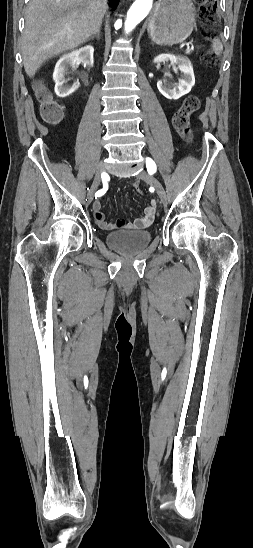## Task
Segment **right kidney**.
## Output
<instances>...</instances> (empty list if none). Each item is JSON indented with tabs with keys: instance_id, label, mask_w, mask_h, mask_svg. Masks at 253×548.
<instances>
[{
	"instance_id": "obj_1",
	"label": "right kidney",
	"mask_w": 253,
	"mask_h": 548,
	"mask_svg": "<svg viewBox=\"0 0 253 548\" xmlns=\"http://www.w3.org/2000/svg\"><path fill=\"white\" fill-rule=\"evenodd\" d=\"M93 53V46L87 45L71 53L63 55L57 61L53 73V80L55 81V93L58 97H68L78 89L80 85L79 82L68 85L65 75L67 74L69 67H74L80 62H83L87 66H93Z\"/></svg>"
}]
</instances>
